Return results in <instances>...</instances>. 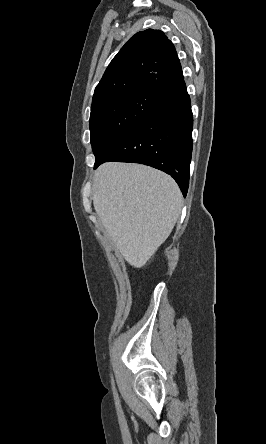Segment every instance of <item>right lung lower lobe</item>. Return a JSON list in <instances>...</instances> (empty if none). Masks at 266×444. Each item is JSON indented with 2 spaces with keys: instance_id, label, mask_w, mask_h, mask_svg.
<instances>
[{
  "instance_id": "right-lung-lower-lobe-1",
  "label": "right lung lower lobe",
  "mask_w": 266,
  "mask_h": 444,
  "mask_svg": "<svg viewBox=\"0 0 266 444\" xmlns=\"http://www.w3.org/2000/svg\"><path fill=\"white\" fill-rule=\"evenodd\" d=\"M192 127L190 97L185 90L163 101L94 168L107 161L145 164L171 175L185 197L189 185Z\"/></svg>"
}]
</instances>
